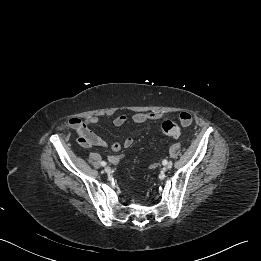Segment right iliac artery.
Wrapping results in <instances>:
<instances>
[{
  "instance_id": "obj_1",
  "label": "right iliac artery",
  "mask_w": 261,
  "mask_h": 261,
  "mask_svg": "<svg viewBox=\"0 0 261 261\" xmlns=\"http://www.w3.org/2000/svg\"><path fill=\"white\" fill-rule=\"evenodd\" d=\"M101 165H102V166H106L107 163H106L105 161H102V162H101Z\"/></svg>"
}]
</instances>
